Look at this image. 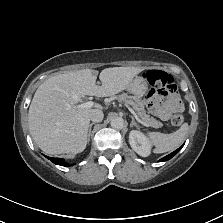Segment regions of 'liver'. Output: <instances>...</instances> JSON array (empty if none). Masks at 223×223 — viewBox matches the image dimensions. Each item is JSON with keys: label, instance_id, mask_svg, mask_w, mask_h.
I'll list each match as a JSON object with an SVG mask.
<instances>
[{"label": "liver", "instance_id": "1", "mask_svg": "<svg viewBox=\"0 0 223 223\" xmlns=\"http://www.w3.org/2000/svg\"><path fill=\"white\" fill-rule=\"evenodd\" d=\"M137 67H113L101 71L83 69L47 79L36 90L28 123L39 148L47 154L82 152L87 145L91 108H77L85 95L113 96L128 89L132 79L143 71Z\"/></svg>", "mask_w": 223, "mask_h": 223}]
</instances>
